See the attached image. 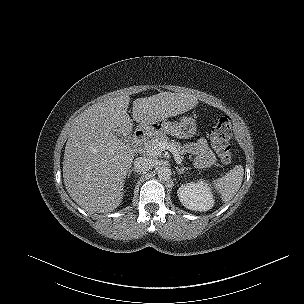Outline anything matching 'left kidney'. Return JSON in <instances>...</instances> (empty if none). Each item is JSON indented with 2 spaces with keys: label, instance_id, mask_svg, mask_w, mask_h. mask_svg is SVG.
Masks as SVG:
<instances>
[{
  "label": "left kidney",
  "instance_id": "5707ae66",
  "mask_svg": "<svg viewBox=\"0 0 304 304\" xmlns=\"http://www.w3.org/2000/svg\"><path fill=\"white\" fill-rule=\"evenodd\" d=\"M182 205L193 211L204 212L214 206L215 200L211 185L206 180L182 184L178 191Z\"/></svg>",
  "mask_w": 304,
  "mask_h": 304
}]
</instances>
